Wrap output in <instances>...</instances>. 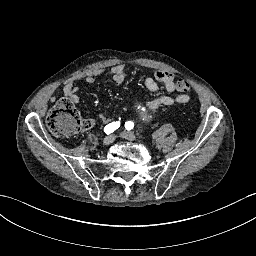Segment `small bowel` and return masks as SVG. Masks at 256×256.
I'll use <instances>...</instances> for the list:
<instances>
[{
  "label": "small bowel",
  "instance_id": "obj_1",
  "mask_svg": "<svg viewBox=\"0 0 256 256\" xmlns=\"http://www.w3.org/2000/svg\"><path fill=\"white\" fill-rule=\"evenodd\" d=\"M106 72L105 69L96 68L93 70L86 71L82 74H79L71 79H69L63 86V93L67 97L69 101L73 104L79 103V97L77 95L78 86L77 82L83 81L89 84H92L96 81V79ZM110 74L112 80L115 84L121 85L123 84L126 77V67L125 65H116L110 69ZM180 81L175 80V76L173 73L166 70H157L153 76L147 77L145 79V86L150 92L158 91V83H161L164 87V91L166 94L158 96L155 100L148 102L145 104V109L152 114H157L162 106H169L175 103L184 104L187 103L190 99L189 95L186 92L189 90H184L180 87ZM178 91L181 94L176 96H171L170 94ZM55 97L51 98V101H55ZM99 119L102 122H108L109 119L103 115H99Z\"/></svg>",
  "mask_w": 256,
  "mask_h": 256
}]
</instances>
